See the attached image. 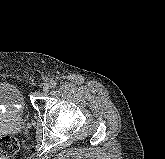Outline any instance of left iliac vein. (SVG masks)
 Listing matches in <instances>:
<instances>
[{"label": "left iliac vein", "mask_w": 165, "mask_h": 159, "mask_svg": "<svg viewBox=\"0 0 165 159\" xmlns=\"http://www.w3.org/2000/svg\"><path fill=\"white\" fill-rule=\"evenodd\" d=\"M50 88H51V84H49V83L44 84V86H43V92L44 93H48L49 90H50Z\"/></svg>", "instance_id": "1"}]
</instances>
